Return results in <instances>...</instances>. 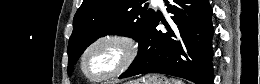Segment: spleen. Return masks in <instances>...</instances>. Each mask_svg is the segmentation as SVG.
Segmentation results:
<instances>
[{
    "mask_svg": "<svg viewBox=\"0 0 260 84\" xmlns=\"http://www.w3.org/2000/svg\"><path fill=\"white\" fill-rule=\"evenodd\" d=\"M173 84H184L181 80L172 79Z\"/></svg>",
    "mask_w": 260,
    "mask_h": 84,
    "instance_id": "spleen-1",
    "label": "spleen"
}]
</instances>
